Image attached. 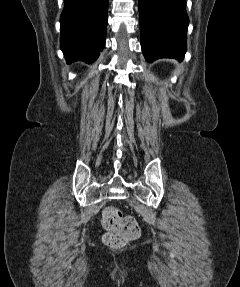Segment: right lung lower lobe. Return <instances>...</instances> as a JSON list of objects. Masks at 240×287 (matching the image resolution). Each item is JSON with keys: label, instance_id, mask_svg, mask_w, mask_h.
Instances as JSON below:
<instances>
[{"label": "right lung lower lobe", "instance_id": "98d812e1", "mask_svg": "<svg viewBox=\"0 0 240 287\" xmlns=\"http://www.w3.org/2000/svg\"><path fill=\"white\" fill-rule=\"evenodd\" d=\"M109 0H65L60 47L67 63L94 62L105 45Z\"/></svg>", "mask_w": 240, "mask_h": 287}]
</instances>
